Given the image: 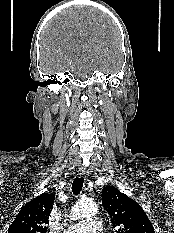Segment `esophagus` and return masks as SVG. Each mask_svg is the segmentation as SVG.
<instances>
[{"instance_id":"obj_1","label":"esophagus","mask_w":174,"mask_h":233,"mask_svg":"<svg viewBox=\"0 0 174 233\" xmlns=\"http://www.w3.org/2000/svg\"><path fill=\"white\" fill-rule=\"evenodd\" d=\"M78 175H79L80 177L87 178V171H86L84 168H80V169L78 170Z\"/></svg>"}]
</instances>
